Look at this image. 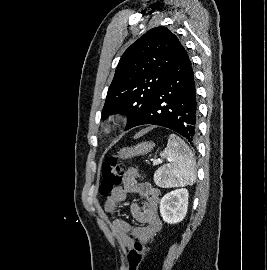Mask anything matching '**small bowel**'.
Masks as SVG:
<instances>
[{
  "label": "small bowel",
  "instance_id": "small-bowel-1",
  "mask_svg": "<svg viewBox=\"0 0 267 270\" xmlns=\"http://www.w3.org/2000/svg\"><path fill=\"white\" fill-rule=\"evenodd\" d=\"M138 177L136 169H128L122 186L112 192L104 204L106 212L115 213L129 194H136L142 199V204L133 203L130 206L132 216L140 225H132L119 217L112 220L116 239L128 251L133 249L137 241L144 245L149 244L161 228L158 191L150 183L138 181Z\"/></svg>",
  "mask_w": 267,
  "mask_h": 270
}]
</instances>
